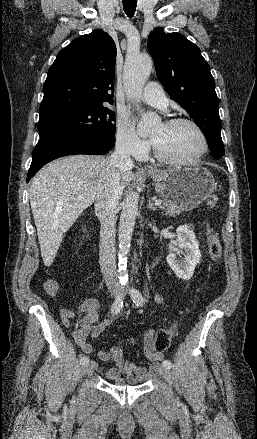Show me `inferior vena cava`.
Listing matches in <instances>:
<instances>
[{"mask_svg":"<svg viewBox=\"0 0 257 439\" xmlns=\"http://www.w3.org/2000/svg\"><path fill=\"white\" fill-rule=\"evenodd\" d=\"M128 148L117 145L114 153L108 158L113 168L132 169L133 161ZM122 194L119 174L116 173L108 186L97 196L95 213L100 220V267L106 285L110 288H119V276L115 264V224L116 208Z\"/></svg>","mask_w":257,"mask_h":439,"instance_id":"602c4592","label":"inferior vena cava"}]
</instances>
